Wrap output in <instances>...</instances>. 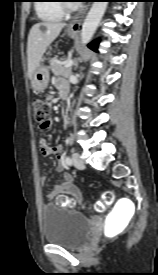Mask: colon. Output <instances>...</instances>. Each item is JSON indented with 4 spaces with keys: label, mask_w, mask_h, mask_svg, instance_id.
<instances>
[{
    "label": "colon",
    "mask_w": 158,
    "mask_h": 275,
    "mask_svg": "<svg viewBox=\"0 0 158 275\" xmlns=\"http://www.w3.org/2000/svg\"><path fill=\"white\" fill-rule=\"evenodd\" d=\"M34 118L40 124V128L47 127V116L49 114V100L42 97L33 99ZM114 201V194L112 191H105L103 193L102 202L97 206L98 211L104 210L105 207L112 204ZM59 206H72L73 201L65 196H59L56 200Z\"/></svg>",
    "instance_id": "colon-1"
}]
</instances>
